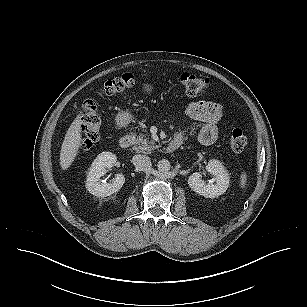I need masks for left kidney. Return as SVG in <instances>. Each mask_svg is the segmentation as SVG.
Returning <instances> with one entry per match:
<instances>
[{
  "label": "left kidney",
  "instance_id": "1",
  "mask_svg": "<svg viewBox=\"0 0 307 307\" xmlns=\"http://www.w3.org/2000/svg\"><path fill=\"white\" fill-rule=\"evenodd\" d=\"M206 171L214 175L212 180L206 182L202 180L200 172H195L188 179L189 187L206 198H216L224 194L229 187L230 177L220 161L210 160Z\"/></svg>",
  "mask_w": 307,
  "mask_h": 307
}]
</instances>
